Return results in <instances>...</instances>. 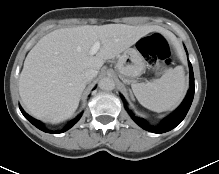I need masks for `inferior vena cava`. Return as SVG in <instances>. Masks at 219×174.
Returning a JSON list of instances; mask_svg holds the SVG:
<instances>
[{
    "label": "inferior vena cava",
    "mask_w": 219,
    "mask_h": 174,
    "mask_svg": "<svg viewBox=\"0 0 219 174\" xmlns=\"http://www.w3.org/2000/svg\"><path fill=\"white\" fill-rule=\"evenodd\" d=\"M97 71L95 69H87L83 72V79L85 82H90L94 77H96Z\"/></svg>",
    "instance_id": "inferior-vena-cava-1"
}]
</instances>
